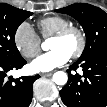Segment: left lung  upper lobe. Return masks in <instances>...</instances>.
I'll return each instance as SVG.
<instances>
[{
    "instance_id": "left-lung-upper-lobe-1",
    "label": "left lung upper lobe",
    "mask_w": 107,
    "mask_h": 107,
    "mask_svg": "<svg viewBox=\"0 0 107 107\" xmlns=\"http://www.w3.org/2000/svg\"><path fill=\"white\" fill-rule=\"evenodd\" d=\"M56 12L68 14L79 21L86 34L82 60L97 51L107 49V13L90 4H72Z\"/></svg>"
}]
</instances>
